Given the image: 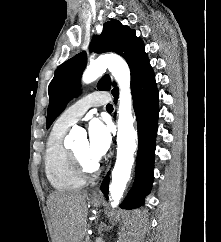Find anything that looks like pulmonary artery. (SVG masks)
Listing matches in <instances>:
<instances>
[{
    "label": "pulmonary artery",
    "instance_id": "pulmonary-artery-1",
    "mask_svg": "<svg viewBox=\"0 0 221 242\" xmlns=\"http://www.w3.org/2000/svg\"><path fill=\"white\" fill-rule=\"evenodd\" d=\"M107 100V93H89L67 108L57 119L55 125L59 128L68 129L73 126L90 107L103 105Z\"/></svg>",
    "mask_w": 221,
    "mask_h": 242
}]
</instances>
